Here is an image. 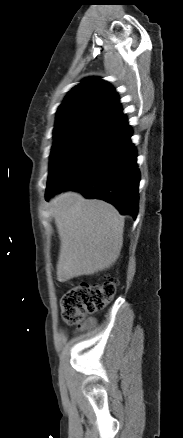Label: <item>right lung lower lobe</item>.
<instances>
[{
  "instance_id": "obj_1",
  "label": "right lung lower lobe",
  "mask_w": 183,
  "mask_h": 438,
  "mask_svg": "<svg viewBox=\"0 0 183 438\" xmlns=\"http://www.w3.org/2000/svg\"><path fill=\"white\" fill-rule=\"evenodd\" d=\"M131 127L124 115L100 127L47 185L46 200L64 190L103 199L136 218L140 172Z\"/></svg>"
}]
</instances>
